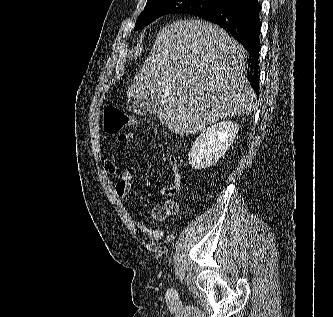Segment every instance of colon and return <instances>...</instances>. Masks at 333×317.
<instances>
[{
    "mask_svg": "<svg viewBox=\"0 0 333 317\" xmlns=\"http://www.w3.org/2000/svg\"><path fill=\"white\" fill-rule=\"evenodd\" d=\"M103 129L107 134L117 135L134 124V118L124 110L109 106L103 111Z\"/></svg>",
    "mask_w": 333,
    "mask_h": 317,
    "instance_id": "obj_1",
    "label": "colon"
}]
</instances>
